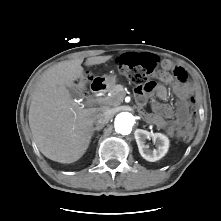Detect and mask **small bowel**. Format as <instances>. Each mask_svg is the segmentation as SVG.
<instances>
[{"label":"small bowel","instance_id":"1","mask_svg":"<svg viewBox=\"0 0 221 221\" xmlns=\"http://www.w3.org/2000/svg\"><path fill=\"white\" fill-rule=\"evenodd\" d=\"M140 54L144 53H124L119 57L118 61H131ZM159 80L160 82L150 91L139 87L136 90L137 99L140 103H144L153 97L159 101H165L167 99V91L164 83L173 81L174 90L179 97L176 106L172 107L154 100L152 102V112H147L146 116L155 125L164 128L171 137L181 136L190 120L191 103L188 95L191 85L188 81L187 72L182 66L174 64L169 59H164L161 61Z\"/></svg>","mask_w":221,"mask_h":221}]
</instances>
